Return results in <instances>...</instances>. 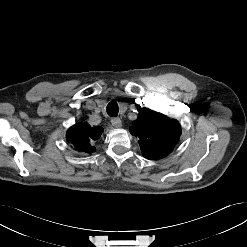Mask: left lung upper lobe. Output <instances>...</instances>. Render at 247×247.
I'll list each match as a JSON object with an SVG mask.
<instances>
[{"label": "left lung upper lobe", "mask_w": 247, "mask_h": 247, "mask_svg": "<svg viewBox=\"0 0 247 247\" xmlns=\"http://www.w3.org/2000/svg\"><path fill=\"white\" fill-rule=\"evenodd\" d=\"M130 132L139 138L143 156L149 160H157L166 157L178 143L181 126L174 119L142 108Z\"/></svg>", "instance_id": "left-lung-upper-lobe-1"}]
</instances>
